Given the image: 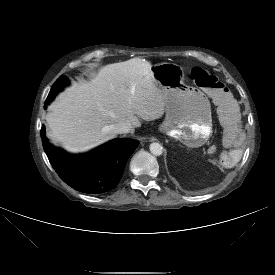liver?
I'll use <instances>...</instances> for the list:
<instances>
[{"label": "liver", "instance_id": "6515ba94", "mask_svg": "<svg viewBox=\"0 0 275 275\" xmlns=\"http://www.w3.org/2000/svg\"><path fill=\"white\" fill-rule=\"evenodd\" d=\"M151 63L132 58L102 67L88 82L74 83L51 105L48 136L73 153L85 152L112 139L120 121L140 127L164 114Z\"/></svg>", "mask_w": 275, "mask_h": 275}]
</instances>
